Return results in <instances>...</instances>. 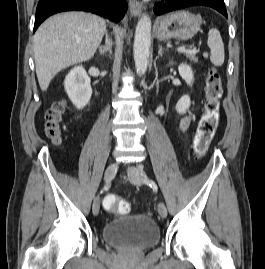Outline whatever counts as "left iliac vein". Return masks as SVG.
<instances>
[{
    "label": "left iliac vein",
    "mask_w": 265,
    "mask_h": 269,
    "mask_svg": "<svg viewBox=\"0 0 265 269\" xmlns=\"http://www.w3.org/2000/svg\"><path fill=\"white\" fill-rule=\"evenodd\" d=\"M130 181L134 185H142L143 184V178L146 177V173L139 167H130L128 169ZM158 213L162 218L167 217V208L164 203L158 204Z\"/></svg>",
    "instance_id": "left-iliac-vein-1"
}]
</instances>
